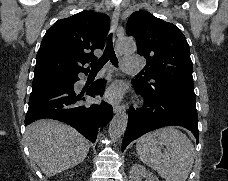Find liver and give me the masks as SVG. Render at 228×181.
<instances>
[{"label":"liver","instance_id":"obj_1","mask_svg":"<svg viewBox=\"0 0 228 181\" xmlns=\"http://www.w3.org/2000/svg\"><path fill=\"white\" fill-rule=\"evenodd\" d=\"M30 159L46 177H54L84 161L89 141L59 121H35L26 127Z\"/></svg>","mask_w":228,"mask_h":181}]
</instances>
